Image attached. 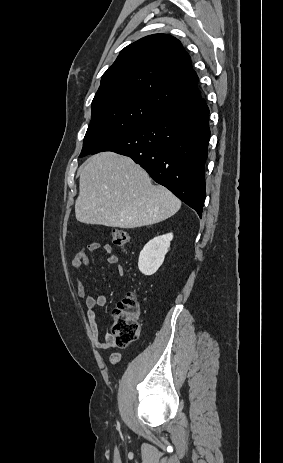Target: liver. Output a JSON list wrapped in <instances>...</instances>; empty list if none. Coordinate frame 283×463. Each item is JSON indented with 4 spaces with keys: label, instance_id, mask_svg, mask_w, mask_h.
I'll list each match as a JSON object with an SVG mask.
<instances>
[{
    "label": "liver",
    "instance_id": "obj_1",
    "mask_svg": "<svg viewBox=\"0 0 283 463\" xmlns=\"http://www.w3.org/2000/svg\"><path fill=\"white\" fill-rule=\"evenodd\" d=\"M181 201L132 159L113 152L90 157L80 167L76 219L85 224L137 228L173 216Z\"/></svg>",
    "mask_w": 283,
    "mask_h": 463
}]
</instances>
